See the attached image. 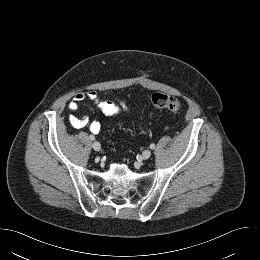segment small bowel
<instances>
[{
    "mask_svg": "<svg viewBox=\"0 0 260 260\" xmlns=\"http://www.w3.org/2000/svg\"><path fill=\"white\" fill-rule=\"evenodd\" d=\"M112 97L111 100L103 99L95 90H88L86 92L77 93L72 100L68 103V108L72 112L68 116V122L76 129H81L89 126L92 133L98 134L101 131V124L98 121L89 123L86 117L79 116L77 113L80 109V103L84 100L92 101L100 110L110 116H115L128 109L127 100L121 96L113 93H108Z\"/></svg>",
    "mask_w": 260,
    "mask_h": 260,
    "instance_id": "c3829d8e",
    "label": "small bowel"
}]
</instances>
